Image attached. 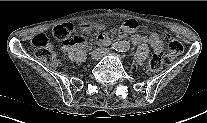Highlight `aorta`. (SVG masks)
I'll return each instance as SVG.
<instances>
[{
  "mask_svg": "<svg viewBox=\"0 0 207 123\" xmlns=\"http://www.w3.org/2000/svg\"><path fill=\"white\" fill-rule=\"evenodd\" d=\"M129 48V44L126 41H120L117 45H116V49L119 51H126Z\"/></svg>",
  "mask_w": 207,
  "mask_h": 123,
  "instance_id": "aorta-1",
  "label": "aorta"
}]
</instances>
